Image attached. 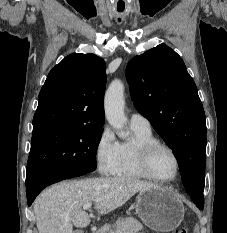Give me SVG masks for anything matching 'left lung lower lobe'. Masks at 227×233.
Wrapping results in <instances>:
<instances>
[{
  "instance_id": "obj_1",
  "label": "left lung lower lobe",
  "mask_w": 227,
  "mask_h": 233,
  "mask_svg": "<svg viewBox=\"0 0 227 233\" xmlns=\"http://www.w3.org/2000/svg\"><path fill=\"white\" fill-rule=\"evenodd\" d=\"M194 203L197 205L199 209H203L204 207V200H199L197 197H191Z\"/></svg>"
}]
</instances>
